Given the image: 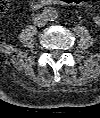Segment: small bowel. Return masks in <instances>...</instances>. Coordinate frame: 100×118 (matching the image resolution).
<instances>
[{"mask_svg": "<svg viewBox=\"0 0 100 118\" xmlns=\"http://www.w3.org/2000/svg\"><path fill=\"white\" fill-rule=\"evenodd\" d=\"M94 21L96 24H98L100 20H99V18H95Z\"/></svg>", "mask_w": 100, "mask_h": 118, "instance_id": "small-bowel-1", "label": "small bowel"}]
</instances>
